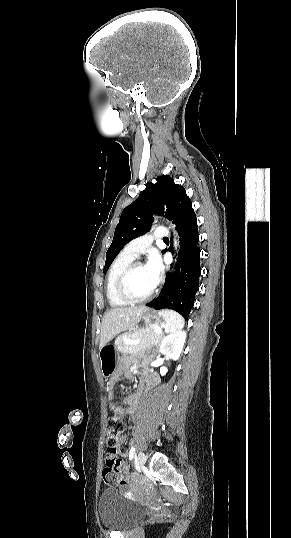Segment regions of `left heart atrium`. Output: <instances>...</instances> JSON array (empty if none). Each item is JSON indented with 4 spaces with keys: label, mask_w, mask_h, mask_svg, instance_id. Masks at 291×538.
I'll return each instance as SVG.
<instances>
[{
    "label": "left heart atrium",
    "mask_w": 291,
    "mask_h": 538,
    "mask_svg": "<svg viewBox=\"0 0 291 538\" xmlns=\"http://www.w3.org/2000/svg\"><path fill=\"white\" fill-rule=\"evenodd\" d=\"M144 267L150 275L152 281L156 285L159 282L163 272V266L160 257L156 253H152L149 256L148 261Z\"/></svg>",
    "instance_id": "1"
}]
</instances>
